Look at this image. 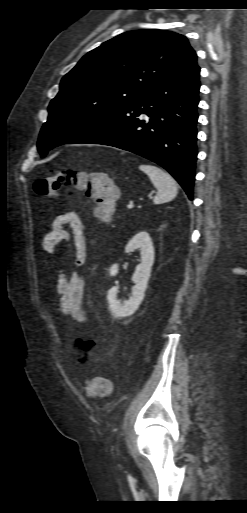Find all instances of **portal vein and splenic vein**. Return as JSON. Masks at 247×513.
Segmentation results:
<instances>
[{
  "label": "portal vein and splenic vein",
  "instance_id": "obj_1",
  "mask_svg": "<svg viewBox=\"0 0 247 513\" xmlns=\"http://www.w3.org/2000/svg\"><path fill=\"white\" fill-rule=\"evenodd\" d=\"M133 207H134V205H133V204H129V205H127V209H128V210H131Z\"/></svg>",
  "mask_w": 247,
  "mask_h": 513
}]
</instances>
